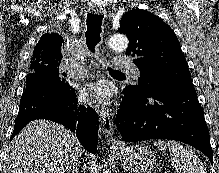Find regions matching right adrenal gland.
Wrapping results in <instances>:
<instances>
[{
    "instance_id": "2a0ac1e0",
    "label": "right adrenal gland",
    "mask_w": 219,
    "mask_h": 173,
    "mask_svg": "<svg viewBox=\"0 0 219 173\" xmlns=\"http://www.w3.org/2000/svg\"><path fill=\"white\" fill-rule=\"evenodd\" d=\"M67 173H70V171L67 172ZM71 173H80V172H79V169H78V165H75V166L72 167Z\"/></svg>"
}]
</instances>
